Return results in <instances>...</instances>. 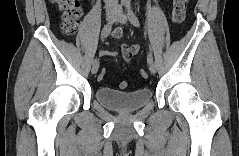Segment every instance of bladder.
<instances>
[{
  "mask_svg": "<svg viewBox=\"0 0 239 156\" xmlns=\"http://www.w3.org/2000/svg\"><path fill=\"white\" fill-rule=\"evenodd\" d=\"M94 95L101 105L117 112L139 110L152 99V93L149 88H141L133 92H123L113 88L99 87L95 90Z\"/></svg>",
  "mask_w": 239,
  "mask_h": 156,
  "instance_id": "31cf9c89",
  "label": "bladder"
}]
</instances>
